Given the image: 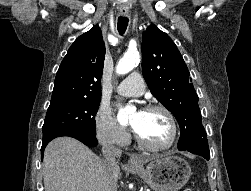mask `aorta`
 <instances>
[{
  "label": "aorta",
  "instance_id": "762f6f07",
  "mask_svg": "<svg viewBox=\"0 0 251 191\" xmlns=\"http://www.w3.org/2000/svg\"><path fill=\"white\" fill-rule=\"evenodd\" d=\"M137 64H139V52H133V50H129V52L124 54L120 62H118L116 66V74H128V72H131V70H133ZM132 111H134V107H130V105H126V107H120L117 113L118 121H121V119H126V117H128V113H132Z\"/></svg>",
  "mask_w": 251,
  "mask_h": 191
}]
</instances>
